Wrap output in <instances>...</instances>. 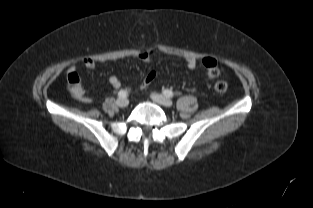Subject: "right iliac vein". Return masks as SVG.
Instances as JSON below:
<instances>
[{
  "label": "right iliac vein",
  "instance_id": "63e3f726",
  "mask_svg": "<svg viewBox=\"0 0 313 208\" xmlns=\"http://www.w3.org/2000/svg\"><path fill=\"white\" fill-rule=\"evenodd\" d=\"M116 103L119 107L124 108V107L128 106L129 101L127 98L123 97V98H118Z\"/></svg>",
  "mask_w": 313,
  "mask_h": 208
}]
</instances>
